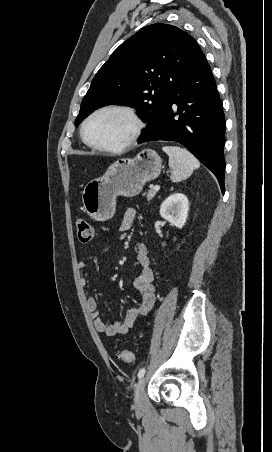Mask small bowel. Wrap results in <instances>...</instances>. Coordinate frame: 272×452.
<instances>
[{
	"mask_svg": "<svg viewBox=\"0 0 272 452\" xmlns=\"http://www.w3.org/2000/svg\"><path fill=\"white\" fill-rule=\"evenodd\" d=\"M135 218L136 211L133 208L128 209L120 223V232L124 233L129 231ZM136 261L140 266V272L135 276L133 285L141 297L140 304L131 308L122 321L109 323L99 312L96 300L89 298L87 300V308L91 312L94 328L97 332L109 337L125 335L133 328L140 317L147 315L152 309L156 298V288L153 284L154 272L150 266L147 247L143 243L137 245ZM77 266L79 270H85L88 268V263L87 261L81 260ZM80 282L83 286L88 285V279L85 277H82Z\"/></svg>",
	"mask_w": 272,
	"mask_h": 452,
	"instance_id": "obj_1",
	"label": "small bowel"
}]
</instances>
